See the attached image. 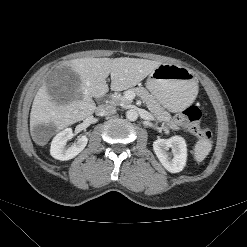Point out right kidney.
<instances>
[{
  "label": "right kidney",
  "mask_w": 247,
  "mask_h": 247,
  "mask_svg": "<svg viewBox=\"0 0 247 247\" xmlns=\"http://www.w3.org/2000/svg\"><path fill=\"white\" fill-rule=\"evenodd\" d=\"M74 136L71 128H66L58 133L51 142L50 154L53 158L66 161L77 156L86 147L88 138L83 135L77 138V140L68 148L66 143Z\"/></svg>",
  "instance_id": "obj_1"
}]
</instances>
